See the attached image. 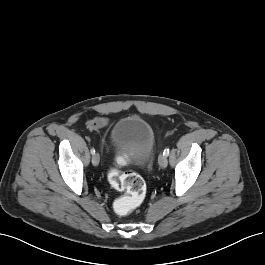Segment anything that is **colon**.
<instances>
[{
    "instance_id": "obj_1",
    "label": "colon",
    "mask_w": 265,
    "mask_h": 265,
    "mask_svg": "<svg viewBox=\"0 0 265 265\" xmlns=\"http://www.w3.org/2000/svg\"><path fill=\"white\" fill-rule=\"evenodd\" d=\"M108 178L113 188L126 192V197L115 204L117 214L126 215L140 205L144 199L146 188L139 175L133 172L121 174L117 170H111Z\"/></svg>"
}]
</instances>
